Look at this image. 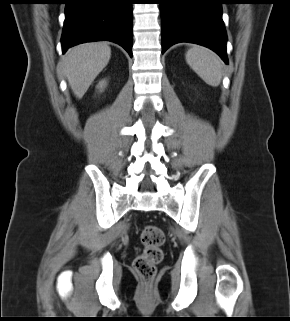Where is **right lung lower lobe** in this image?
<instances>
[{"label":"right lung lower lobe","instance_id":"right-lung-lower-lobe-1","mask_svg":"<svg viewBox=\"0 0 290 321\" xmlns=\"http://www.w3.org/2000/svg\"><path fill=\"white\" fill-rule=\"evenodd\" d=\"M92 41H112L132 57L131 0H67L62 51Z\"/></svg>","mask_w":290,"mask_h":321}]
</instances>
